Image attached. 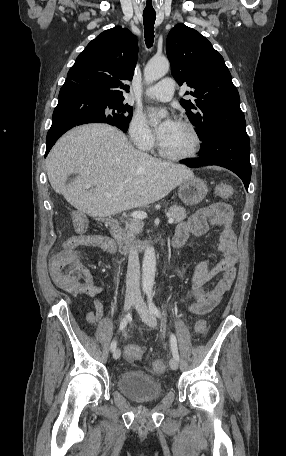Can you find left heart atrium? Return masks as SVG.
Listing matches in <instances>:
<instances>
[{
  "label": "left heart atrium",
  "mask_w": 286,
  "mask_h": 456,
  "mask_svg": "<svg viewBox=\"0 0 286 456\" xmlns=\"http://www.w3.org/2000/svg\"><path fill=\"white\" fill-rule=\"evenodd\" d=\"M175 124H176V122L173 121L172 119H167L166 121H164L161 124V126L159 127L158 132H157L159 138L164 137Z\"/></svg>",
  "instance_id": "obj_1"
}]
</instances>
